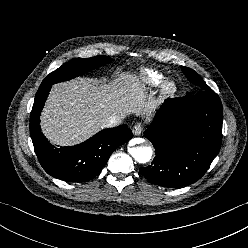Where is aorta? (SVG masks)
Segmentation results:
<instances>
[{"instance_id":"762f6f07","label":"aorta","mask_w":248,"mask_h":248,"mask_svg":"<svg viewBox=\"0 0 248 248\" xmlns=\"http://www.w3.org/2000/svg\"><path fill=\"white\" fill-rule=\"evenodd\" d=\"M135 143H142L144 140L136 139ZM130 155L139 163H147L152 158L153 150L149 145H138L129 148Z\"/></svg>"}]
</instances>
